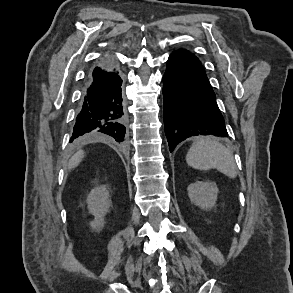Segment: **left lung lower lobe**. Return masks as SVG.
<instances>
[{
	"label": "left lung lower lobe",
	"mask_w": 293,
	"mask_h": 293,
	"mask_svg": "<svg viewBox=\"0 0 293 293\" xmlns=\"http://www.w3.org/2000/svg\"><path fill=\"white\" fill-rule=\"evenodd\" d=\"M165 134L172 152L196 135L228 137L216 96L199 59L187 50L173 52L163 76Z\"/></svg>",
	"instance_id": "left-lung-lower-lobe-1"
}]
</instances>
